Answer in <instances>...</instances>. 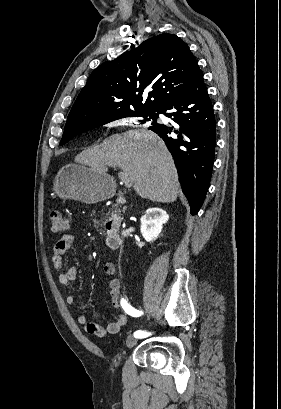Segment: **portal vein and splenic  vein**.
<instances>
[{
	"label": "portal vein and splenic vein",
	"mask_w": 281,
	"mask_h": 409,
	"mask_svg": "<svg viewBox=\"0 0 281 409\" xmlns=\"http://www.w3.org/2000/svg\"><path fill=\"white\" fill-rule=\"evenodd\" d=\"M105 164H108V166H113V164H111V162H105ZM118 176L119 178H121L123 184H124V189L126 191H129L130 189H133L135 186L134 183V178H132V176H130V174H127V172H118Z\"/></svg>",
	"instance_id": "1"
}]
</instances>
